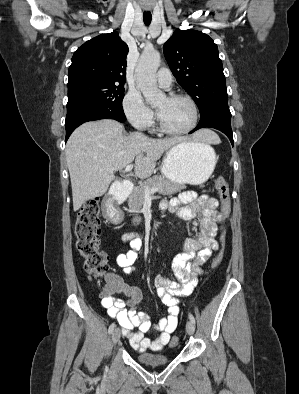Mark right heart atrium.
<instances>
[{"label":"right heart atrium","instance_id":"right-heart-atrium-1","mask_svg":"<svg viewBox=\"0 0 299 394\" xmlns=\"http://www.w3.org/2000/svg\"><path fill=\"white\" fill-rule=\"evenodd\" d=\"M123 109L127 120L137 129H148L154 121V113L143 101L136 90H130L123 100Z\"/></svg>","mask_w":299,"mask_h":394}]
</instances>
